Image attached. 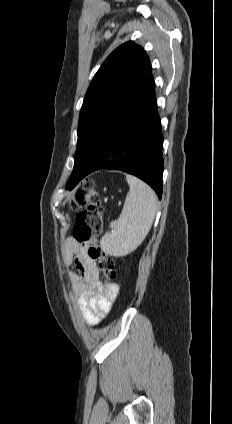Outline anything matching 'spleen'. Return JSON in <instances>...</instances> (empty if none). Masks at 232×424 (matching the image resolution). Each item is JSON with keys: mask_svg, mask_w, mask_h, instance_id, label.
Segmentation results:
<instances>
[{"mask_svg": "<svg viewBox=\"0 0 232 424\" xmlns=\"http://www.w3.org/2000/svg\"><path fill=\"white\" fill-rule=\"evenodd\" d=\"M126 180L129 192L122 212L100 240L102 250L115 257L125 256L141 245L157 211V196L151 187L133 175H127Z\"/></svg>", "mask_w": 232, "mask_h": 424, "instance_id": "3e777b00", "label": "spleen"}]
</instances>
